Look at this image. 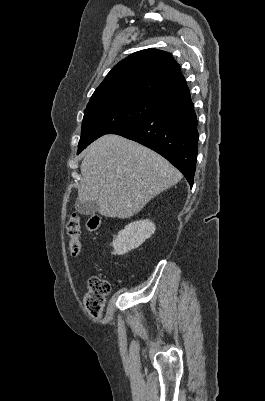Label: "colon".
Wrapping results in <instances>:
<instances>
[{
  "label": "colon",
  "mask_w": 265,
  "mask_h": 401,
  "mask_svg": "<svg viewBox=\"0 0 265 401\" xmlns=\"http://www.w3.org/2000/svg\"><path fill=\"white\" fill-rule=\"evenodd\" d=\"M101 218L97 214L91 215L86 223L87 229L96 231L100 227ZM67 234L70 238L69 250L73 256H77L81 251L80 235L81 223L77 214L70 216L66 224ZM111 284L109 281L100 277H91L88 281V289L84 296V306L88 315L97 320L100 318L106 297L110 293Z\"/></svg>",
  "instance_id": "colon-1"
}]
</instances>
